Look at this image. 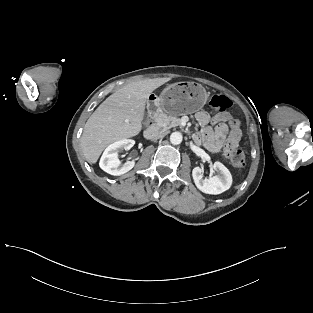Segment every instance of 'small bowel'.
Wrapping results in <instances>:
<instances>
[{
    "mask_svg": "<svg viewBox=\"0 0 313 313\" xmlns=\"http://www.w3.org/2000/svg\"><path fill=\"white\" fill-rule=\"evenodd\" d=\"M196 119L201 130L195 135V139L210 151L217 152L224 145H238L240 125L230 114L218 113L211 117L207 112L200 111L196 114Z\"/></svg>",
    "mask_w": 313,
    "mask_h": 313,
    "instance_id": "obj_1",
    "label": "small bowel"
}]
</instances>
